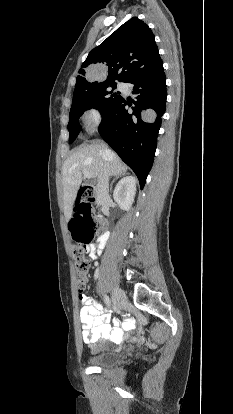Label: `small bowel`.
<instances>
[{
  "label": "small bowel",
  "mask_w": 233,
  "mask_h": 414,
  "mask_svg": "<svg viewBox=\"0 0 233 414\" xmlns=\"http://www.w3.org/2000/svg\"><path fill=\"white\" fill-rule=\"evenodd\" d=\"M108 234L103 233L95 243L87 246V253L93 260H97L102 253ZM88 285L89 283V279ZM80 300V321L82 328L83 341L88 344L93 350L99 349L97 342L100 340L110 341L113 344L119 345L125 340V333L132 330L134 323L131 319L123 322L115 321V326L110 325V314L106 312L102 304H100L93 297L86 296L85 291L79 292Z\"/></svg>",
  "instance_id": "1"
}]
</instances>
